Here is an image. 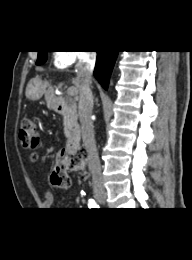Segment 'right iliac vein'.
<instances>
[{
	"mask_svg": "<svg viewBox=\"0 0 192 260\" xmlns=\"http://www.w3.org/2000/svg\"><path fill=\"white\" fill-rule=\"evenodd\" d=\"M95 198L98 200V202L105 204L106 203V193L104 191H96L94 194Z\"/></svg>",
	"mask_w": 192,
	"mask_h": 260,
	"instance_id": "63e3f726",
	"label": "right iliac vein"
}]
</instances>
